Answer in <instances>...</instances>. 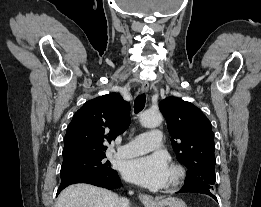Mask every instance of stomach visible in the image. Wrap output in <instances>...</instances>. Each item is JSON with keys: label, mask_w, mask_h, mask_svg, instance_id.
<instances>
[{"label": "stomach", "mask_w": 261, "mask_h": 207, "mask_svg": "<svg viewBox=\"0 0 261 207\" xmlns=\"http://www.w3.org/2000/svg\"><path fill=\"white\" fill-rule=\"evenodd\" d=\"M147 207H187L185 202L179 198L168 197L161 200H155L152 205Z\"/></svg>", "instance_id": "stomach-1"}]
</instances>
